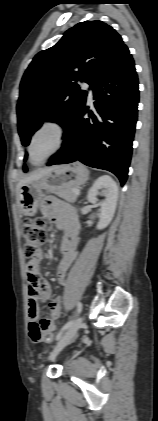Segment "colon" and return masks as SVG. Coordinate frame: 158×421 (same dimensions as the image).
<instances>
[{
    "mask_svg": "<svg viewBox=\"0 0 158 421\" xmlns=\"http://www.w3.org/2000/svg\"><path fill=\"white\" fill-rule=\"evenodd\" d=\"M22 237L24 240V255L30 261H34L41 251V246L47 240L43 219H25L23 222ZM33 338L35 341L51 342L53 334L35 331Z\"/></svg>",
    "mask_w": 158,
    "mask_h": 421,
    "instance_id": "1",
    "label": "colon"
}]
</instances>
